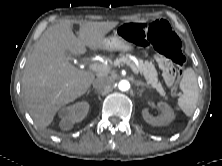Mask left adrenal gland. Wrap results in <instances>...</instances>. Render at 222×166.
I'll return each mask as SVG.
<instances>
[{
    "mask_svg": "<svg viewBox=\"0 0 222 166\" xmlns=\"http://www.w3.org/2000/svg\"><path fill=\"white\" fill-rule=\"evenodd\" d=\"M135 85H136V86H146V87H148L147 84H145V83L142 82V81H135Z\"/></svg>",
    "mask_w": 222,
    "mask_h": 166,
    "instance_id": "a2214340",
    "label": "left adrenal gland"
}]
</instances>
